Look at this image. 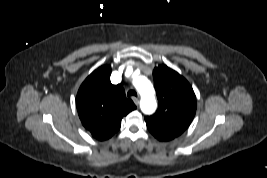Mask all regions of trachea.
Returning <instances> with one entry per match:
<instances>
[{
	"label": "trachea",
	"mask_w": 267,
	"mask_h": 178,
	"mask_svg": "<svg viewBox=\"0 0 267 178\" xmlns=\"http://www.w3.org/2000/svg\"><path fill=\"white\" fill-rule=\"evenodd\" d=\"M127 96H137V93L135 90H129Z\"/></svg>",
	"instance_id": "trachea-1"
}]
</instances>
